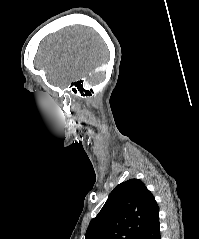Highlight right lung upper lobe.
Segmentation results:
<instances>
[{"mask_svg": "<svg viewBox=\"0 0 199 239\" xmlns=\"http://www.w3.org/2000/svg\"><path fill=\"white\" fill-rule=\"evenodd\" d=\"M159 218V207L140 179L120 183L88 226L85 239H138Z\"/></svg>", "mask_w": 199, "mask_h": 239, "instance_id": "obj_1", "label": "right lung upper lobe"}]
</instances>
